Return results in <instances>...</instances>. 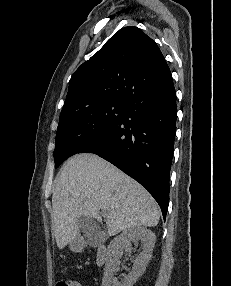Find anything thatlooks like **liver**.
Returning a JSON list of instances; mask_svg holds the SVG:
<instances>
[{
    "label": "liver",
    "instance_id": "1",
    "mask_svg": "<svg viewBox=\"0 0 231 286\" xmlns=\"http://www.w3.org/2000/svg\"><path fill=\"white\" fill-rule=\"evenodd\" d=\"M56 243L63 249L77 236V218H95L102 224L105 209L110 236L134 227H154L160 209L154 198L137 181L104 160L82 153L62 167L52 196Z\"/></svg>",
    "mask_w": 231,
    "mask_h": 286
}]
</instances>
